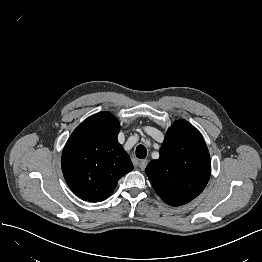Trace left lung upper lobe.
<instances>
[{"label":"left lung upper lobe","instance_id":"obj_1","mask_svg":"<svg viewBox=\"0 0 262 262\" xmlns=\"http://www.w3.org/2000/svg\"><path fill=\"white\" fill-rule=\"evenodd\" d=\"M155 192L167 204L181 206L196 198L211 174L208 148L199 131L185 120L168 129L160 158L145 170Z\"/></svg>","mask_w":262,"mask_h":262}]
</instances>
